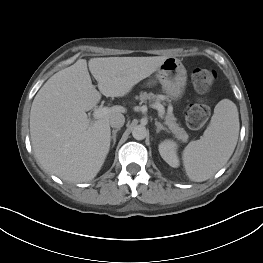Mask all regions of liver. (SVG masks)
Returning <instances> with one entry per match:
<instances>
[{
    "instance_id": "liver-1",
    "label": "liver",
    "mask_w": 263,
    "mask_h": 263,
    "mask_svg": "<svg viewBox=\"0 0 263 263\" xmlns=\"http://www.w3.org/2000/svg\"><path fill=\"white\" fill-rule=\"evenodd\" d=\"M167 56L104 57L77 60L53 76L36 94L30 111V135L41 167L64 181L92 180L110 148V118L124 113L115 105L104 117L91 121L86 112L101 99L123 97L149 77ZM89 71L98 82L92 84Z\"/></svg>"
}]
</instances>
